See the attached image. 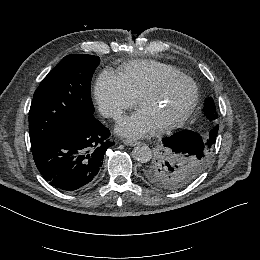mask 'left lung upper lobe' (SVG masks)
I'll use <instances>...</instances> for the list:
<instances>
[{
	"label": "left lung upper lobe",
	"mask_w": 260,
	"mask_h": 260,
	"mask_svg": "<svg viewBox=\"0 0 260 260\" xmlns=\"http://www.w3.org/2000/svg\"><path fill=\"white\" fill-rule=\"evenodd\" d=\"M204 114L209 120L204 129L195 130L204 139L210 130L217 126L216 106L212 98L205 103ZM213 147H209L201 155L178 154L159 143L154 157L145 164L142 170L144 178L152 185L163 190L176 191L194 182L210 163Z\"/></svg>",
	"instance_id": "5c2ea615"
}]
</instances>
